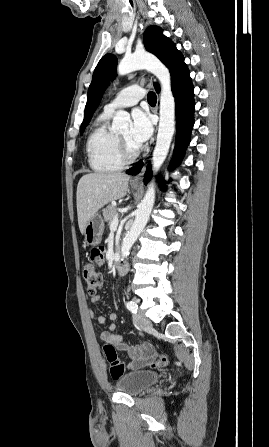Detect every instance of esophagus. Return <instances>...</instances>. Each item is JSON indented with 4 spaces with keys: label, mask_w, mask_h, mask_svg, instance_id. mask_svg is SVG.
Instances as JSON below:
<instances>
[{
    "label": "esophagus",
    "mask_w": 269,
    "mask_h": 447,
    "mask_svg": "<svg viewBox=\"0 0 269 447\" xmlns=\"http://www.w3.org/2000/svg\"><path fill=\"white\" fill-rule=\"evenodd\" d=\"M144 167L142 168V170H141V172L138 174V175H136L132 180H131V183L132 184H138V183H141L142 182V178H143V175H144Z\"/></svg>",
    "instance_id": "1"
}]
</instances>
